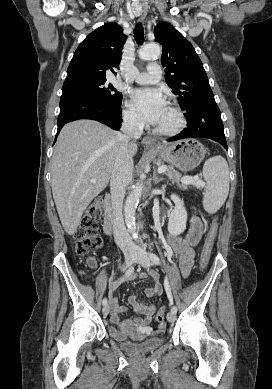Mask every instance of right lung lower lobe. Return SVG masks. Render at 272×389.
<instances>
[{"label": "right lung lower lobe", "instance_id": "98d812e1", "mask_svg": "<svg viewBox=\"0 0 272 389\" xmlns=\"http://www.w3.org/2000/svg\"><path fill=\"white\" fill-rule=\"evenodd\" d=\"M59 106L56 137L66 123L78 119L96 120L115 130L121 126V104L109 105L89 96L65 95L61 96Z\"/></svg>", "mask_w": 272, "mask_h": 389}]
</instances>
